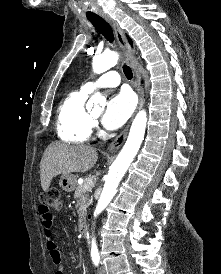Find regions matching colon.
Listing matches in <instances>:
<instances>
[{"label": "colon", "mask_w": 221, "mask_h": 274, "mask_svg": "<svg viewBox=\"0 0 221 274\" xmlns=\"http://www.w3.org/2000/svg\"><path fill=\"white\" fill-rule=\"evenodd\" d=\"M40 201L41 204L54 209H59L62 205L60 192L55 188H51L44 192L40 197Z\"/></svg>", "instance_id": "obj_1"}]
</instances>
